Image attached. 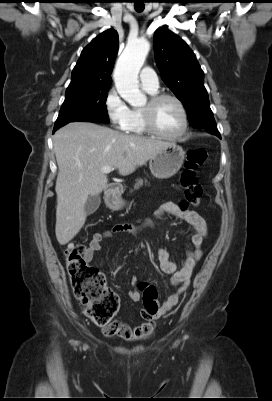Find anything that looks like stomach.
I'll use <instances>...</instances> for the list:
<instances>
[{
    "instance_id": "stomach-1",
    "label": "stomach",
    "mask_w": 272,
    "mask_h": 401,
    "mask_svg": "<svg viewBox=\"0 0 272 401\" xmlns=\"http://www.w3.org/2000/svg\"><path fill=\"white\" fill-rule=\"evenodd\" d=\"M185 157V151L175 143L161 148L151 157L149 167L154 177L167 179L175 175L181 168ZM106 205L112 210H120L125 206V201L120 196H109Z\"/></svg>"
}]
</instances>
